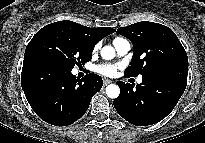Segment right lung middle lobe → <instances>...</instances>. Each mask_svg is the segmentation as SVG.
Segmentation results:
<instances>
[{
	"mask_svg": "<svg viewBox=\"0 0 205 143\" xmlns=\"http://www.w3.org/2000/svg\"><path fill=\"white\" fill-rule=\"evenodd\" d=\"M94 45L69 21L44 26L31 39L25 54L34 53L52 58L73 69L91 60Z\"/></svg>",
	"mask_w": 205,
	"mask_h": 143,
	"instance_id": "obj_1",
	"label": "right lung middle lobe"
}]
</instances>
